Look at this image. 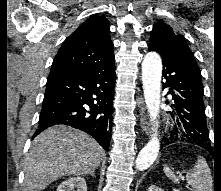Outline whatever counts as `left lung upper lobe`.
<instances>
[{
  "label": "left lung upper lobe",
  "instance_id": "5c2ea615",
  "mask_svg": "<svg viewBox=\"0 0 221 191\" xmlns=\"http://www.w3.org/2000/svg\"><path fill=\"white\" fill-rule=\"evenodd\" d=\"M180 43H186L184 38L174 33L169 25L159 21L153 26L148 46L156 47L163 52H168L176 49ZM199 145H208L211 147L209 136L207 140H204L203 143H199Z\"/></svg>",
  "mask_w": 221,
  "mask_h": 191
}]
</instances>
